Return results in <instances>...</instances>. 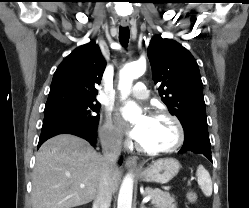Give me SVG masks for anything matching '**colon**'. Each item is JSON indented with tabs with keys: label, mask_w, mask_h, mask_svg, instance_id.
<instances>
[{
	"label": "colon",
	"mask_w": 249,
	"mask_h": 208,
	"mask_svg": "<svg viewBox=\"0 0 249 208\" xmlns=\"http://www.w3.org/2000/svg\"><path fill=\"white\" fill-rule=\"evenodd\" d=\"M187 199L190 203H195L198 199V195L194 190H189L187 192Z\"/></svg>",
	"instance_id": "1"
}]
</instances>
